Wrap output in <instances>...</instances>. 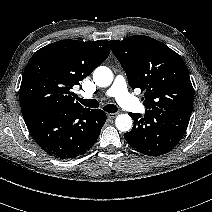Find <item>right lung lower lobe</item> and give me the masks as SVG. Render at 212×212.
Returning <instances> with one entry per match:
<instances>
[{"label": "right lung lower lobe", "instance_id": "right-lung-lower-lobe-1", "mask_svg": "<svg viewBox=\"0 0 212 212\" xmlns=\"http://www.w3.org/2000/svg\"><path fill=\"white\" fill-rule=\"evenodd\" d=\"M37 144L50 156L71 159L97 141L106 121L100 109L46 110L24 119Z\"/></svg>", "mask_w": 212, "mask_h": 212}]
</instances>
